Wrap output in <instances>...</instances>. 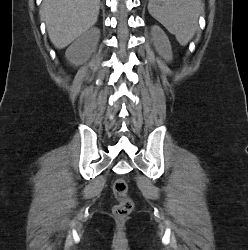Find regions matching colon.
<instances>
[{"label":"colon","mask_w":248,"mask_h":250,"mask_svg":"<svg viewBox=\"0 0 248 250\" xmlns=\"http://www.w3.org/2000/svg\"><path fill=\"white\" fill-rule=\"evenodd\" d=\"M112 189L117 200V204L113 208V215L117 219H124L133 209V201L128 194L127 182L118 178L114 181Z\"/></svg>","instance_id":"colon-1"}]
</instances>
